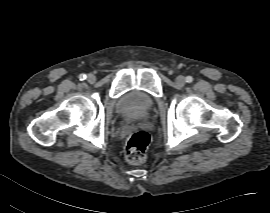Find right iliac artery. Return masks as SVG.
Returning <instances> with one entry per match:
<instances>
[{"instance_id": "obj_1", "label": "right iliac artery", "mask_w": 270, "mask_h": 213, "mask_svg": "<svg viewBox=\"0 0 270 213\" xmlns=\"http://www.w3.org/2000/svg\"><path fill=\"white\" fill-rule=\"evenodd\" d=\"M79 79L82 80V81L85 80L86 79V75L85 74H80L79 75Z\"/></svg>"}]
</instances>
